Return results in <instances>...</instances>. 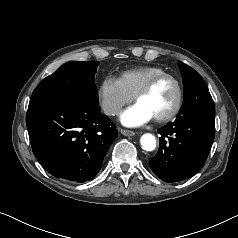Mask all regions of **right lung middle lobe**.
I'll use <instances>...</instances> for the list:
<instances>
[{"label":"right lung middle lobe","mask_w":238,"mask_h":238,"mask_svg":"<svg viewBox=\"0 0 238 238\" xmlns=\"http://www.w3.org/2000/svg\"><path fill=\"white\" fill-rule=\"evenodd\" d=\"M98 61L68 62L43 79L32 96L78 95L99 104L95 85Z\"/></svg>","instance_id":"dd1d6c3e"}]
</instances>
